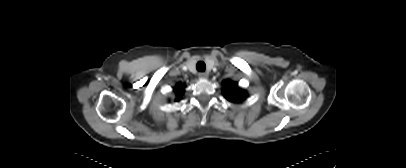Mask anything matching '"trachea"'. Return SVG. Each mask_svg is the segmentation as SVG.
Listing matches in <instances>:
<instances>
[{
    "label": "trachea",
    "instance_id": "obj_1",
    "mask_svg": "<svg viewBox=\"0 0 406 168\" xmlns=\"http://www.w3.org/2000/svg\"><path fill=\"white\" fill-rule=\"evenodd\" d=\"M196 68H197L198 71L204 72L205 69H206V65H205V63L203 61H199L197 63V65H196Z\"/></svg>",
    "mask_w": 406,
    "mask_h": 168
}]
</instances>
